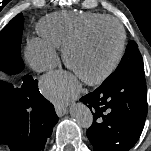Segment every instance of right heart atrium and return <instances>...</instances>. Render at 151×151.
<instances>
[{
	"mask_svg": "<svg viewBox=\"0 0 151 151\" xmlns=\"http://www.w3.org/2000/svg\"><path fill=\"white\" fill-rule=\"evenodd\" d=\"M26 58L30 66L44 72L53 68L57 62V52L54 47L39 38L29 40L26 47Z\"/></svg>",
	"mask_w": 151,
	"mask_h": 151,
	"instance_id": "d8ad5b80",
	"label": "right heart atrium"
}]
</instances>
